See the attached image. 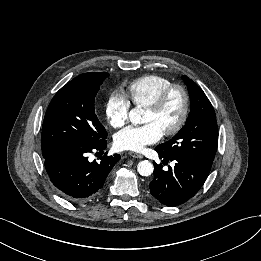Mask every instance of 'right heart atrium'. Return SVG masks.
<instances>
[{
    "label": "right heart atrium",
    "instance_id": "obj_1",
    "mask_svg": "<svg viewBox=\"0 0 261 261\" xmlns=\"http://www.w3.org/2000/svg\"><path fill=\"white\" fill-rule=\"evenodd\" d=\"M130 103L118 92L111 93L105 103V116L108 123L115 128H121L129 120Z\"/></svg>",
    "mask_w": 261,
    "mask_h": 261
}]
</instances>
